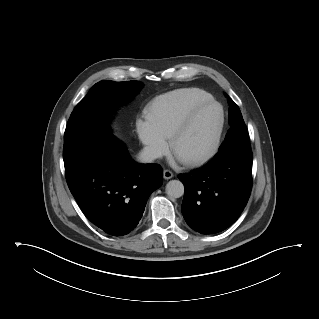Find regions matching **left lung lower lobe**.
I'll use <instances>...</instances> for the list:
<instances>
[{"instance_id": "1", "label": "left lung lower lobe", "mask_w": 319, "mask_h": 319, "mask_svg": "<svg viewBox=\"0 0 319 319\" xmlns=\"http://www.w3.org/2000/svg\"><path fill=\"white\" fill-rule=\"evenodd\" d=\"M252 161L251 148H234L178 176L185 187L181 211L192 229L214 234L238 219L251 192Z\"/></svg>"}]
</instances>
